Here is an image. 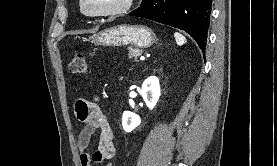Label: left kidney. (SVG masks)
I'll return each mask as SVG.
<instances>
[{"mask_svg": "<svg viewBox=\"0 0 277 166\" xmlns=\"http://www.w3.org/2000/svg\"><path fill=\"white\" fill-rule=\"evenodd\" d=\"M142 97L149 109H153L161 95L159 79L155 76L147 78L141 88ZM141 123L138 115L125 111L122 116V126L126 132L133 131Z\"/></svg>", "mask_w": 277, "mask_h": 166, "instance_id": "1", "label": "left kidney"}]
</instances>
